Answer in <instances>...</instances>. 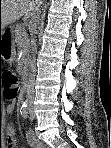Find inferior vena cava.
Returning a JSON list of instances; mask_svg holds the SVG:
<instances>
[{"label": "inferior vena cava", "mask_w": 111, "mask_h": 148, "mask_svg": "<svg viewBox=\"0 0 111 148\" xmlns=\"http://www.w3.org/2000/svg\"><path fill=\"white\" fill-rule=\"evenodd\" d=\"M40 9L39 7L35 10L33 15L31 16V30H32V35L35 33V30L37 28V25L39 24L40 21ZM32 53H33V59L31 62L30 66V73H29V79H28V86H27V98L28 100H32L34 98L35 90H34V85H35V76H36V66H35V53L37 51L35 39L33 37L32 41Z\"/></svg>", "instance_id": "1"}]
</instances>
